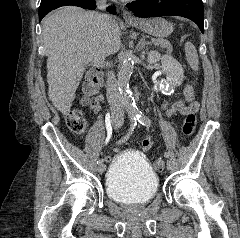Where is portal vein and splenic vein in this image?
Wrapping results in <instances>:
<instances>
[{
    "instance_id": "portal-vein-and-splenic-vein-1",
    "label": "portal vein and splenic vein",
    "mask_w": 240,
    "mask_h": 238,
    "mask_svg": "<svg viewBox=\"0 0 240 238\" xmlns=\"http://www.w3.org/2000/svg\"><path fill=\"white\" fill-rule=\"evenodd\" d=\"M154 44H155V45H158V43H157V42H154Z\"/></svg>"
}]
</instances>
